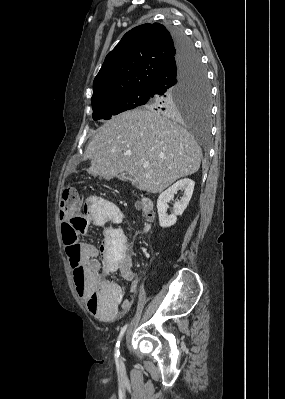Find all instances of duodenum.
<instances>
[{"instance_id": "1", "label": "duodenum", "mask_w": 285, "mask_h": 399, "mask_svg": "<svg viewBox=\"0 0 285 399\" xmlns=\"http://www.w3.org/2000/svg\"><path fill=\"white\" fill-rule=\"evenodd\" d=\"M144 205H145V211L148 214L152 208L151 202L149 200H144ZM149 226H150V220L146 216L145 227L147 228Z\"/></svg>"}]
</instances>
